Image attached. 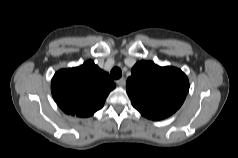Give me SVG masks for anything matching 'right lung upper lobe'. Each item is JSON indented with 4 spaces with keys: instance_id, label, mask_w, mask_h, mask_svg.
Here are the masks:
<instances>
[{
    "instance_id": "cb5924a9",
    "label": "right lung upper lobe",
    "mask_w": 238,
    "mask_h": 158,
    "mask_svg": "<svg viewBox=\"0 0 238 158\" xmlns=\"http://www.w3.org/2000/svg\"><path fill=\"white\" fill-rule=\"evenodd\" d=\"M115 88L109 74L89 60L75 68L62 69L51 81L54 100L66 113L78 117L92 116L104 105Z\"/></svg>"
}]
</instances>
